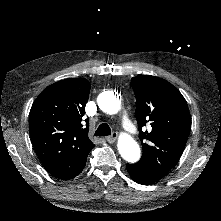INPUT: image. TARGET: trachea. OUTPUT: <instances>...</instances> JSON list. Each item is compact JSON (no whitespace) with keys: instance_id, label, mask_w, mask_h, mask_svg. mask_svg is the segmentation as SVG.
Returning a JSON list of instances; mask_svg holds the SVG:
<instances>
[{"instance_id":"3493384b","label":"trachea","mask_w":221,"mask_h":221,"mask_svg":"<svg viewBox=\"0 0 221 221\" xmlns=\"http://www.w3.org/2000/svg\"><path fill=\"white\" fill-rule=\"evenodd\" d=\"M96 136H109L111 135V128L108 124L102 123L100 126L97 128L95 132Z\"/></svg>"}]
</instances>
